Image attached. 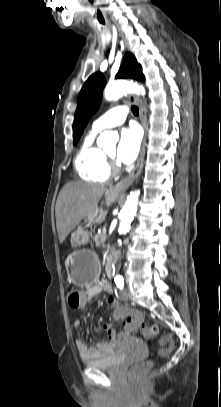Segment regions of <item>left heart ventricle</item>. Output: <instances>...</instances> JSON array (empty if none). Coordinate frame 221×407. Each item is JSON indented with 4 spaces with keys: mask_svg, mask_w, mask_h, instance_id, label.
I'll list each match as a JSON object with an SVG mask.
<instances>
[{
    "mask_svg": "<svg viewBox=\"0 0 221 407\" xmlns=\"http://www.w3.org/2000/svg\"><path fill=\"white\" fill-rule=\"evenodd\" d=\"M107 154L110 155V156H114V155H115V148L110 149V150L107 152Z\"/></svg>",
    "mask_w": 221,
    "mask_h": 407,
    "instance_id": "left-heart-ventricle-1",
    "label": "left heart ventricle"
}]
</instances>
